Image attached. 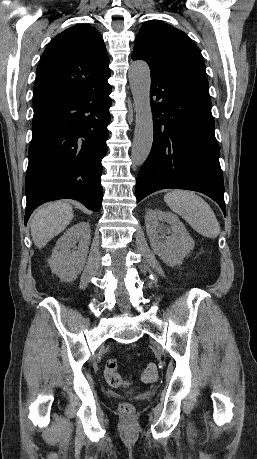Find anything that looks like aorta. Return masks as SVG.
<instances>
[{"label": "aorta", "instance_id": "1", "mask_svg": "<svg viewBox=\"0 0 257 459\" xmlns=\"http://www.w3.org/2000/svg\"><path fill=\"white\" fill-rule=\"evenodd\" d=\"M128 78L136 112L134 139L131 150L133 164L142 165L153 143V118L150 106V69L146 62L131 63Z\"/></svg>", "mask_w": 257, "mask_h": 459}]
</instances>
